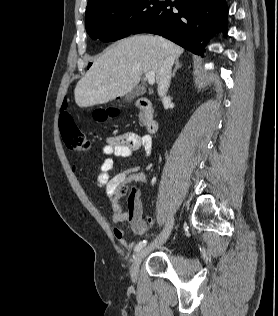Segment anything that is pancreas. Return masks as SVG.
I'll list each match as a JSON object with an SVG mask.
<instances>
[{
  "instance_id": "obj_1",
  "label": "pancreas",
  "mask_w": 278,
  "mask_h": 316,
  "mask_svg": "<svg viewBox=\"0 0 278 316\" xmlns=\"http://www.w3.org/2000/svg\"><path fill=\"white\" fill-rule=\"evenodd\" d=\"M139 122L141 125H144L147 122V115L144 114L143 112L139 113Z\"/></svg>"
}]
</instances>
